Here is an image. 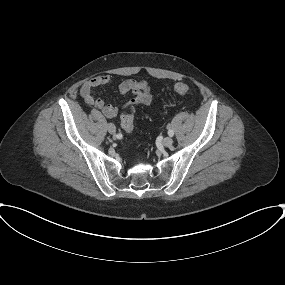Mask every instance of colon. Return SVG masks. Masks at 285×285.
<instances>
[{
  "instance_id": "1",
  "label": "colon",
  "mask_w": 285,
  "mask_h": 285,
  "mask_svg": "<svg viewBox=\"0 0 285 285\" xmlns=\"http://www.w3.org/2000/svg\"><path fill=\"white\" fill-rule=\"evenodd\" d=\"M174 92L180 95H188L192 93V87L186 83L179 82L173 86ZM134 107H130L129 112L121 116V126L126 132H132L134 128Z\"/></svg>"
}]
</instances>
